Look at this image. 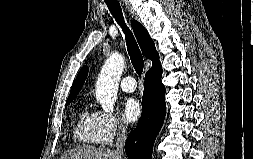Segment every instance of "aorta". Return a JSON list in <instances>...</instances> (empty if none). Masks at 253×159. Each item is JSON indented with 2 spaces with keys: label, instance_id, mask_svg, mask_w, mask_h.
Masks as SVG:
<instances>
[{
  "label": "aorta",
  "instance_id": "1",
  "mask_svg": "<svg viewBox=\"0 0 253 159\" xmlns=\"http://www.w3.org/2000/svg\"><path fill=\"white\" fill-rule=\"evenodd\" d=\"M124 65V57L119 53H113L104 63L98 76L95 87L96 99L105 112L114 111Z\"/></svg>",
  "mask_w": 253,
  "mask_h": 159
}]
</instances>
